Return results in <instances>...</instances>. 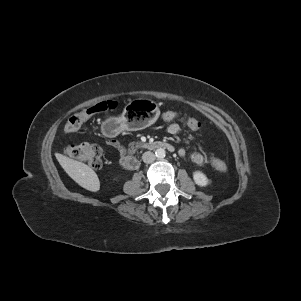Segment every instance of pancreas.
<instances>
[{
  "label": "pancreas",
  "instance_id": "cf45deb5",
  "mask_svg": "<svg viewBox=\"0 0 301 301\" xmlns=\"http://www.w3.org/2000/svg\"><path fill=\"white\" fill-rule=\"evenodd\" d=\"M142 146V143H138V142H136V143H131L130 144V149H129V151L130 152H135L138 148H140Z\"/></svg>",
  "mask_w": 301,
  "mask_h": 301
}]
</instances>
